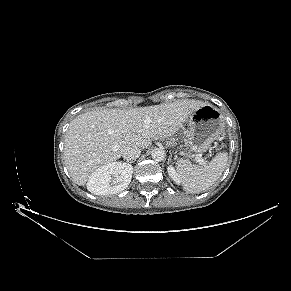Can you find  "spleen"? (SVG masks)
<instances>
[{"mask_svg": "<svg viewBox=\"0 0 291 291\" xmlns=\"http://www.w3.org/2000/svg\"><path fill=\"white\" fill-rule=\"evenodd\" d=\"M228 161L227 152H219L207 166L191 164L188 160H179L177 171L183 189L187 193L196 194L212 186L224 172Z\"/></svg>", "mask_w": 291, "mask_h": 291, "instance_id": "obj_1", "label": "spleen"}]
</instances>
